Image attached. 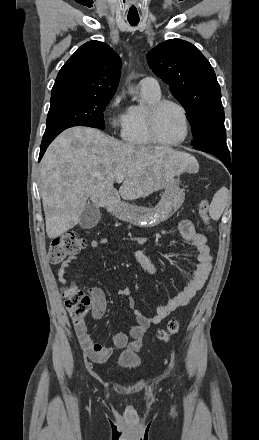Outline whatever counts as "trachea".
<instances>
[{
    "mask_svg": "<svg viewBox=\"0 0 259 440\" xmlns=\"http://www.w3.org/2000/svg\"><path fill=\"white\" fill-rule=\"evenodd\" d=\"M128 22L132 25V26H136L139 23V19H128Z\"/></svg>",
    "mask_w": 259,
    "mask_h": 440,
    "instance_id": "1",
    "label": "trachea"
}]
</instances>
